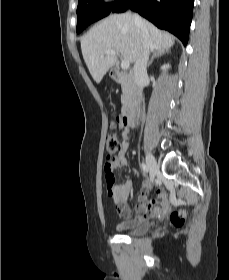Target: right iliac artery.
Segmentation results:
<instances>
[{
  "label": "right iliac artery",
  "mask_w": 229,
  "mask_h": 280,
  "mask_svg": "<svg viewBox=\"0 0 229 280\" xmlns=\"http://www.w3.org/2000/svg\"><path fill=\"white\" fill-rule=\"evenodd\" d=\"M141 169H142L143 173H145V174H147L149 171L147 165L144 163L141 164Z\"/></svg>",
  "instance_id": "82829eb1"
}]
</instances>
